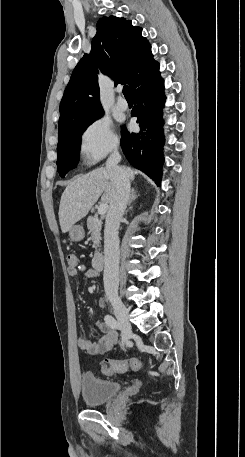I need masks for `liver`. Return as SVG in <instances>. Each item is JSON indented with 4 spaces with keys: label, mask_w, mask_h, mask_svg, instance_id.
<instances>
[{
    "label": "liver",
    "mask_w": 245,
    "mask_h": 457,
    "mask_svg": "<svg viewBox=\"0 0 245 457\" xmlns=\"http://www.w3.org/2000/svg\"><path fill=\"white\" fill-rule=\"evenodd\" d=\"M123 170L127 172L131 180H134L135 170H132L130 166H126ZM113 194L114 186L110 174L104 166L71 180L60 200L58 214L62 233H67L77 220L86 216L99 196H101L102 202H111Z\"/></svg>",
    "instance_id": "obj_1"
}]
</instances>
